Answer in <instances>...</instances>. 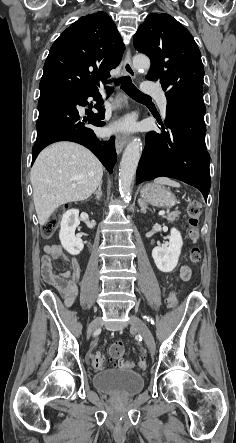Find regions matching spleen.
I'll list each match as a JSON object with an SVG mask.
<instances>
[{"instance_id":"3e777b00","label":"spleen","mask_w":236,"mask_h":443,"mask_svg":"<svg viewBox=\"0 0 236 443\" xmlns=\"http://www.w3.org/2000/svg\"><path fill=\"white\" fill-rule=\"evenodd\" d=\"M154 183L159 184V185H167V186H171V187H176L179 188L180 184L170 178L167 177H159L156 178L154 180Z\"/></svg>"}]
</instances>
